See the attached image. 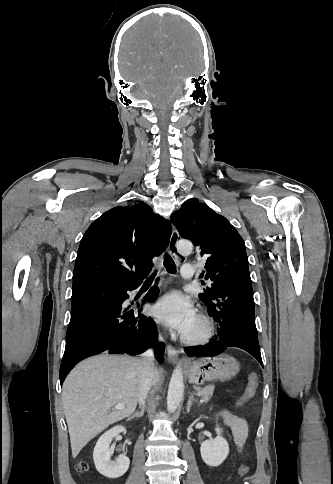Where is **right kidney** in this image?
I'll use <instances>...</instances> for the list:
<instances>
[{
	"label": "right kidney",
	"instance_id": "ca27d5eb",
	"mask_svg": "<svg viewBox=\"0 0 333 484\" xmlns=\"http://www.w3.org/2000/svg\"><path fill=\"white\" fill-rule=\"evenodd\" d=\"M123 431H125L123 426H115L108 430L98 439L93 451L96 469L100 474L110 479L121 477L129 468L130 460L128 457L120 455L115 461H111L109 450L112 439Z\"/></svg>",
	"mask_w": 333,
	"mask_h": 484
}]
</instances>
